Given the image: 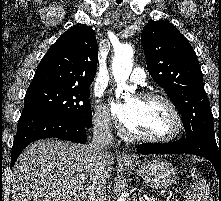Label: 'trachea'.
<instances>
[{
	"label": "trachea",
	"mask_w": 221,
	"mask_h": 201,
	"mask_svg": "<svg viewBox=\"0 0 221 201\" xmlns=\"http://www.w3.org/2000/svg\"><path fill=\"white\" fill-rule=\"evenodd\" d=\"M123 0H117V3H121Z\"/></svg>",
	"instance_id": "trachea-1"
}]
</instances>
